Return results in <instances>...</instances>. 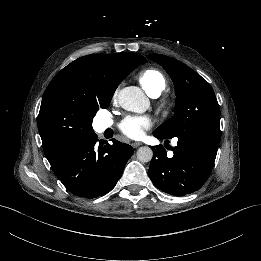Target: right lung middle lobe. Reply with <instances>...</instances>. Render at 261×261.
<instances>
[{
    "label": "right lung middle lobe",
    "instance_id": "1",
    "mask_svg": "<svg viewBox=\"0 0 261 261\" xmlns=\"http://www.w3.org/2000/svg\"><path fill=\"white\" fill-rule=\"evenodd\" d=\"M134 69V67H132L131 69H130V71H132ZM129 71V72H130ZM110 101H111V98H106V99H104L102 102H101V104H100V108H103V109H105V108H107L108 106H109V104H110Z\"/></svg>",
    "mask_w": 261,
    "mask_h": 261
}]
</instances>
